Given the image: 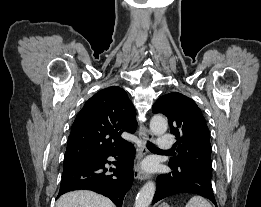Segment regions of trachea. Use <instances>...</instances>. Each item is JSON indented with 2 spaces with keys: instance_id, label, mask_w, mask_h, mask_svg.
<instances>
[{
  "instance_id": "3493384b",
  "label": "trachea",
  "mask_w": 261,
  "mask_h": 207,
  "mask_svg": "<svg viewBox=\"0 0 261 207\" xmlns=\"http://www.w3.org/2000/svg\"><path fill=\"white\" fill-rule=\"evenodd\" d=\"M147 148L149 150H159V151H162L160 150L159 148H157L156 146H154L153 144H151L150 142L147 141Z\"/></svg>"
}]
</instances>
